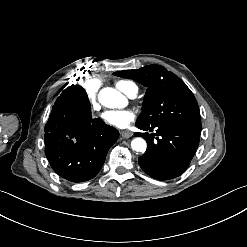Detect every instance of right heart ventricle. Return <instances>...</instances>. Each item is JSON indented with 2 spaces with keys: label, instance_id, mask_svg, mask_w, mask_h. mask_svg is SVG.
Masks as SVG:
<instances>
[{
  "label": "right heart ventricle",
  "instance_id": "1",
  "mask_svg": "<svg viewBox=\"0 0 247 247\" xmlns=\"http://www.w3.org/2000/svg\"><path fill=\"white\" fill-rule=\"evenodd\" d=\"M119 87H120L123 91L129 93V89H128L123 83L119 84Z\"/></svg>",
  "mask_w": 247,
  "mask_h": 247
}]
</instances>
